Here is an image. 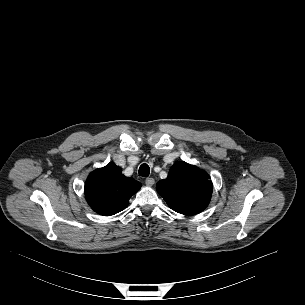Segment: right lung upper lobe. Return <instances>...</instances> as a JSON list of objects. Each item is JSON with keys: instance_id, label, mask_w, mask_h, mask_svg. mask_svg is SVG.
I'll use <instances>...</instances> for the list:
<instances>
[{"instance_id": "1", "label": "right lung upper lobe", "mask_w": 305, "mask_h": 305, "mask_svg": "<svg viewBox=\"0 0 305 305\" xmlns=\"http://www.w3.org/2000/svg\"><path fill=\"white\" fill-rule=\"evenodd\" d=\"M140 188V182L124 176L119 166L109 163L88 176L85 196L95 212L111 216L124 210L128 206L129 198Z\"/></svg>"}]
</instances>
